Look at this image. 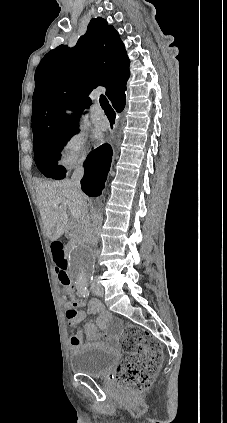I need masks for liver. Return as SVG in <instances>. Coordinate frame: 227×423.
I'll return each mask as SVG.
<instances>
[{"label":"liver","instance_id":"1","mask_svg":"<svg viewBox=\"0 0 227 423\" xmlns=\"http://www.w3.org/2000/svg\"><path fill=\"white\" fill-rule=\"evenodd\" d=\"M36 200L44 229H46L51 241L59 239L65 231H68V233H70L71 229L74 231V227L69 225L67 208L69 210L73 208V210L78 211L80 215L79 221L82 225L90 221V219H87L86 213H84L83 202H86L87 196L83 192H79L72 180L39 184L36 188ZM61 200H65L68 204H64Z\"/></svg>","mask_w":227,"mask_h":423}]
</instances>
